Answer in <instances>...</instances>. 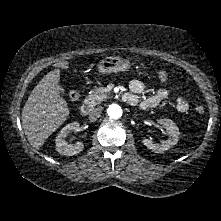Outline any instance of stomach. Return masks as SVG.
I'll return each mask as SVG.
<instances>
[{
  "instance_id": "stomach-1",
  "label": "stomach",
  "mask_w": 221,
  "mask_h": 221,
  "mask_svg": "<svg viewBox=\"0 0 221 221\" xmlns=\"http://www.w3.org/2000/svg\"><path fill=\"white\" fill-rule=\"evenodd\" d=\"M130 68V62L120 57H106L99 62L97 69L101 74L122 72Z\"/></svg>"
}]
</instances>
